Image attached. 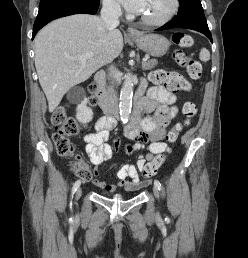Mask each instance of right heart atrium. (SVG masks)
Returning a JSON list of instances; mask_svg holds the SVG:
<instances>
[{
  "label": "right heart atrium",
  "mask_w": 248,
  "mask_h": 258,
  "mask_svg": "<svg viewBox=\"0 0 248 258\" xmlns=\"http://www.w3.org/2000/svg\"><path fill=\"white\" fill-rule=\"evenodd\" d=\"M103 6L108 13L120 14L121 8L117 0H102Z\"/></svg>",
  "instance_id": "d8ad5b80"
}]
</instances>
